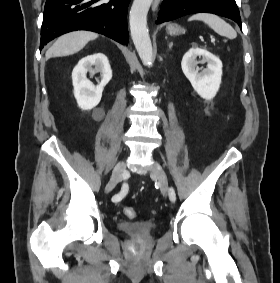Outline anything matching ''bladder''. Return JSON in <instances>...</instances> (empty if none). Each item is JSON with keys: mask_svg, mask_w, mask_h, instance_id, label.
Listing matches in <instances>:
<instances>
[{"mask_svg": "<svg viewBox=\"0 0 280 283\" xmlns=\"http://www.w3.org/2000/svg\"><path fill=\"white\" fill-rule=\"evenodd\" d=\"M117 228L130 236L144 237L150 235L155 230V224L149 221H121L117 223Z\"/></svg>", "mask_w": 280, "mask_h": 283, "instance_id": "bladder-1", "label": "bladder"}]
</instances>
